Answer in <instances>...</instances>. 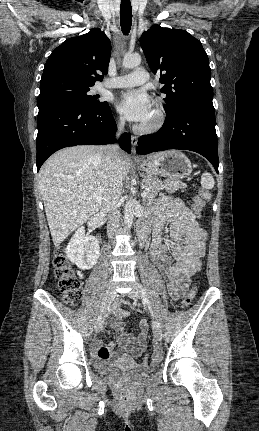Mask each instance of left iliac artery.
<instances>
[{
    "label": "left iliac artery",
    "mask_w": 259,
    "mask_h": 431,
    "mask_svg": "<svg viewBox=\"0 0 259 431\" xmlns=\"http://www.w3.org/2000/svg\"><path fill=\"white\" fill-rule=\"evenodd\" d=\"M139 286H140V289H141V292H142L143 300L147 303V305H148V308H149V310H150L151 315H152V316H154V313H153V310H152V307H151V304H150V300H149V298H148V295H147V293H146L145 289L142 287V285H139Z\"/></svg>",
    "instance_id": "1"
}]
</instances>
